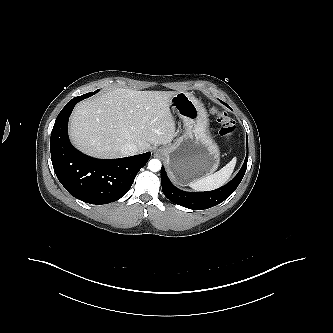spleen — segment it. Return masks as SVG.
<instances>
[{"label":"spleen","instance_id":"3e777b00","mask_svg":"<svg viewBox=\"0 0 333 333\" xmlns=\"http://www.w3.org/2000/svg\"><path fill=\"white\" fill-rule=\"evenodd\" d=\"M236 158H233L228 164L214 174L203 177L196 181L190 182L188 185L197 191H208L216 189L224 185L230 178L236 165Z\"/></svg>","mask_w":333,"mask_h":333}]
</instances>
